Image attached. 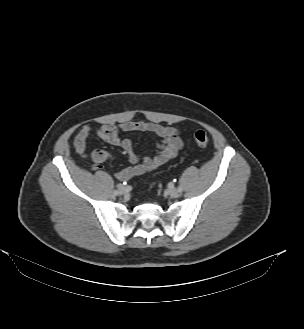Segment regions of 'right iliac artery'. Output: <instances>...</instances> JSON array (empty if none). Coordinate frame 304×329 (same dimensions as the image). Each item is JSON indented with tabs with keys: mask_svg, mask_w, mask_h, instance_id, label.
Instances as JSON below:
<instances>
[{
	"mask_svg": "<svg viewBox=\"0 0 304 329\" xmlns=\"http://www.w3.org/2000/svg\"><path fill=\"white\" fill-rule=\"evenodd\" d=\"M113 194H114V195H118V190H114V191H113Z\"/></svg>",
	"mask_w": 304,
	"mask_h": 329,
	"instance_id": "right-iliac-artery-1",
	"label": "right iliac artery"
}]
</instances>
